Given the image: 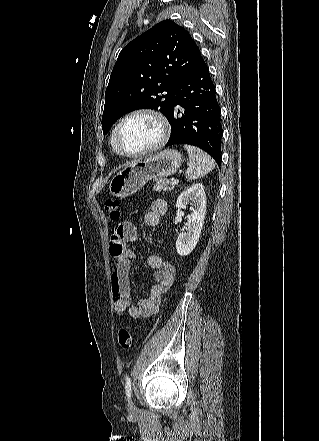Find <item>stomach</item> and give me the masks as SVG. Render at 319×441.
I'll return each instance as SVG.
<instances>
[{
	"mask_svg": "<svg viewBox=\"0 0 319 441\" xmlns=\"http://www.w3.org/2000/svg\"><path fill=\"white\" fill-rule=\"evenodd\" d=\"M181 163L182 156L174 149L146 159H136L112 177L109 192L116 197H128L140 190L148 180L176 173Z\"/></svg>",
	"mask_w": 319,
	"mask_h": 441,
	"instance_id": "1",
	"label": "stomach"
}]
</instances>
